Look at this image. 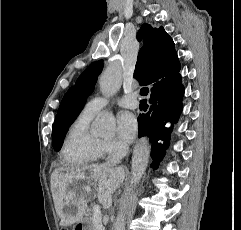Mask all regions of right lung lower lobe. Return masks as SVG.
Wrapping results in <instances>:
<instances>
[{"label":"right lung lower lobe","mask_w":241,"mask_h":230,"mask_svg":"<svg viewBox=\"0 0 241 230\" xmlns=\"http://www.w3.org/2000/svg\"><path fill=\"white\" fill-rule=\"evenodd\" d=\"M180 67L152 87L150 110L140 114L139 137L147 136L152 143V167L156 169L168 147L171 128H165L166 122L176 123L182 112L184 87L179 74ZM163 140L164 144L158 143Z\"/></svg>","instance_id":"98d812e1"}]
</instances>
